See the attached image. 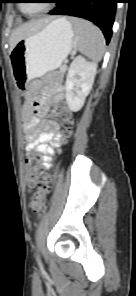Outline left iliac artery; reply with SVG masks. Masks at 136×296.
Instances as JSON below:
<instances>
[{"instance_id": "44dca946", "label": "left iliac artery", "mask_w": 136, "mask_h": 296, "mask_svg": "<svg viewBox=\"0 0 136 296\" xmlns=\"http://www.w3.org/2000/svg\"><path fill=\"white\" fill-rule=\"evenodd\" d=\"M37 261H38V265H39L41 271H44V269H43V265H42V263H41V260H40L39 256L37 257Z\"/></svg>"}]
</instances>
